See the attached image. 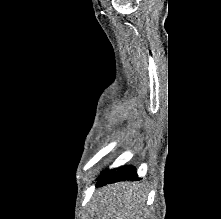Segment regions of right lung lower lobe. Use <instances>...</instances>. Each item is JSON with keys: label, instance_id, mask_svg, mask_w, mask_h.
Listing matches in <instances>:
<instances>
[{"label": "right lung lower lobe", "instance_id": "obj_1", "mask_svg": "<svg viewBox=\"0 0 221 219\" xmlns=\"http://www.w3.org/2000/svg\"><path fill=\"white\" fill-rule=\"evenodd\" d=\"M121 180H140L136 170L132 166L122 167L119 170H107L98 179L97 186L113 183Z\"/></svg>", "mask_w": 221, "mask_h": 219}]
</instances>
